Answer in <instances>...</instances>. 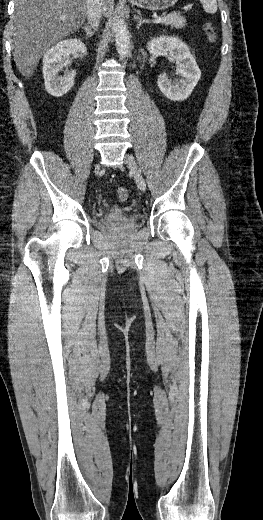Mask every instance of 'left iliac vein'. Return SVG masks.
Returning a JSON list of instances; mask_svg holds the SVG:
<instances>
[{"instance_id":"obj_1","label":"left iliac vein","mask_w":263,"mask_h":520,"mask_svg":"<svg viewBox=\"0 0 263 520\" xmlns=\"http://www.w3.org/2000/svg\"><path fill=\"white\" fill-rule=\"evenodd\" d=\"M124 160H125L126 166L130 170V172L133 174L135 182H136L138 188L141 191H145L146 190V182H145V179H144V177H143V175L141 173V170L138 167L134 157L132 155H130V154H126Z\"/></svg>"}]
</instances>
